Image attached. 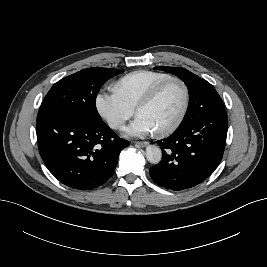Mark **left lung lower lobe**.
<instances>
[{
    "mask_svg": "<svg viewBox=\"0 0 267 267\" xmlns=\"http://www.w3.org/2000/svg\"><path fill=\"white\" fill-rule=\"evenodd\" d=\"M200 113L193 123L157 141L163 157L149 173L159 186L175 191L192 188L207 179L219 165L227 136V114L211 108Z\"/></svg>",
    "mask_w": 267,
    "mask_h": 267,
    "instance_id": "obj_1",
    "label": "left lung lower lobe"
}]
</instances>
